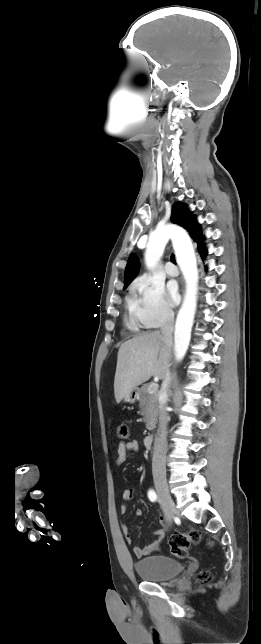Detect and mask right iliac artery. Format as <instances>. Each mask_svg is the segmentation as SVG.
Instances as JSON below:
<instances>
[{
    "label": "right iliac artery",
    "mask_w": 261,
    "mask_h": 644,
    "mask_svg": "<svg viewBox=\"0 0 261 644\" xmlns=\"http://www.w3.org/2000/svg\"><path fill=\"white\" fill-rule=\"evenodd\" d=\"M148 498H149V499H150V501H152V502H155V501L157 500V495H156V493H155V491H154V490L150 489V490L148 491Z\"/></svg>",
    "instance_id": "82829eb1"
}]
</instances>
